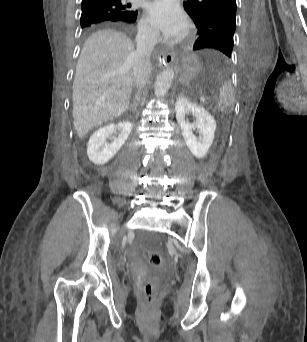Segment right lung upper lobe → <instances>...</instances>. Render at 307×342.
Returning a JSON list of instances; mask_svg holds the SVG:
<instances>
[{
	"label": "right lung upper lobe",
	"mask_w": 307,
	"mask_h": 342,
	"mask_svg": "<svg viewBox=\"0 0 307 342\" xmlns=\"http://www.w3.org/2000/svg\"><path fill=\"white\" fill-rule=\"evenodd\" d=\"M81 8L82 10L111 9L118 13V15L112 19L99 21L82 27L84 32H87L91 28L103 23L128 27L134 23L137 18V11L130 9L131 4L126 3L124 0H82Z\"/></svg>",
	"instance_id": "cb5924a9"
}]
</instances>
